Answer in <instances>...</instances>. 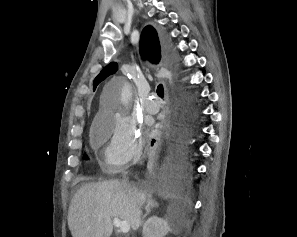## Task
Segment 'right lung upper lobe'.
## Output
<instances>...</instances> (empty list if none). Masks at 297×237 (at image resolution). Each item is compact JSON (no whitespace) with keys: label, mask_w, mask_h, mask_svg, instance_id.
<instances>
[{"label":"right lung upper lobe","mask_w":297,"mask_h":237,"mask_svg":"<svg viewBox=\"0 0 297 237\" xmlns=\"http://www.w3.org/2000/svg\"><path fill=\"white\" fill-rule=\"evenodd\" d=\"M163 49V40H160L156 30L152 26H146L141 34L140 53L143 58L151 62L158 63L161 59ZM117 64L115 62L107 65L95 78L93 89L95 91L97 85L106 79L109 75L115 73Z\"/></svg>","instance_id":"obj_1"}]
</instances>
